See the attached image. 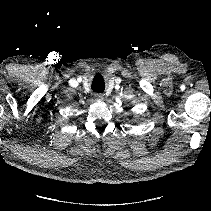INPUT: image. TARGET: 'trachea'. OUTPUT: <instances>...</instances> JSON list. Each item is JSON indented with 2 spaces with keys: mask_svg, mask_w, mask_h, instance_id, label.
Instances as JSON below:
<instances>
[{
  "mask_svg": "<svg viewBox=\"0 0 211 211\" xmlns=\"http://www.w3.org/2000/svg\"><path fill=\"white\" fill-rule=\"evenodd\" d=\"M105 89V83L101 75H97L92 82V90L102 93Z\"/></svg>",
  "mask_w": 211,
  "mask_h": 211,
  "instance_id": "trachea-1",
  "label": "trachea"
}]
</instances>
